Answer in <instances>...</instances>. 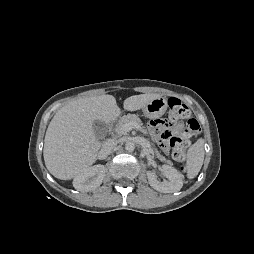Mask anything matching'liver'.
<instances>
[{
	"label": "liver",
	"instance_id": "6515ba94",
	"mask_svg": "<svg viewBox=\"0 0 254 254\" xmlns=\"http://www.w3.org/2000/svg\"><path fill=\"white\" fill-rule=\"evenodd\" d=\"M158 94L128 97L127 111L142 109ZM121 110L112 95L80 98L62 107L52 118L45 135L43 156L48 171L56 178L70 180L89 168L96 160L101 143L93 123L117 119Z\"/></svg>",
	"mask_w": 254,
	"mask_h": 254
}]
</instances>
